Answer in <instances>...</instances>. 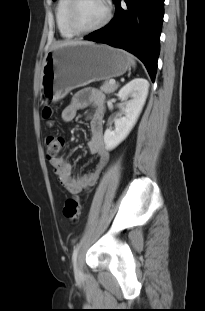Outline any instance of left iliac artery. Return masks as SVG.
<instances>
[{"label":"left iliac artery","mask_w":205,"mask_h":311,"mask_svg":"<svg viewBox=\"0 0 205 311\" xmlns=\"http://www.w3.org/2000/svg\"><path fill=\"white\" fill-rule=\"evenodd\" d=\"M79 248H80V244H77L76 247L73 250V254H72V261H73V263L76 262L77 255H78V252H79Z\"/></svg>","instance_id":"1"}]
</instances>
